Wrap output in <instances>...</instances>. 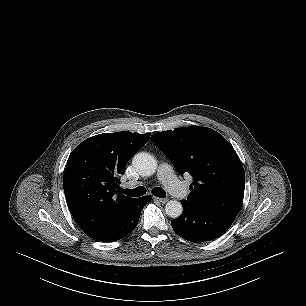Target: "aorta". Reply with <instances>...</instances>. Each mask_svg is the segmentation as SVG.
I'll list each match as a JSON object with an SVG mask.
<instances>
[{"mask_svg":"<svg viewBox=\"0 0 306 306\" xmlns=\"http://www.w3.org/2000/svg\"><path fill=\"white\" fill-rule=\"evenodd\" d=\"M133 167L142 176H151L157 169L156 159L148 153H138L133 157ZM183 207L179 201L170 200L165 205V212L171 218H178L182 214Z\"/></svg>","mask_w":306,"mask_h":306,"instance_id":"aorta-1","label":"aorta"}]
</instances>
